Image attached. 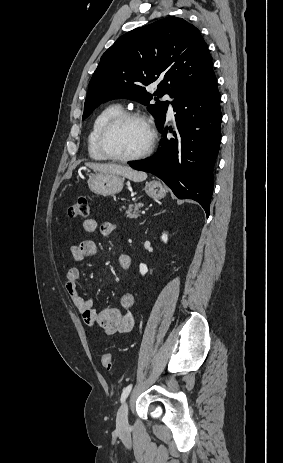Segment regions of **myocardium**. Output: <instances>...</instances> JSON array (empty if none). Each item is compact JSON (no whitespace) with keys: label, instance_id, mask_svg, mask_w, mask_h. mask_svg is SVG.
<instances>
[{"label":"myocardium","instance_id":"f54148a6","mask_svg":"<svg viewBox=\"0 0 283 463\" xmlns=\"http://www.w3.org/2000/svg\"><path fill=\"white\" fill-rule=\"evenodd\" d=\"M135 119L142 122L148 130L149 141L145 149L133 156H120L113 153L108 146V139L112 131L121 123ZM157 141V132L152 121L144 114L137 111H122L109 119L101 128L98 135V146L104 156L112 161L129 163L148 157L154 150Z\"/></svg>","mask_w":283,"mask_h":463}]
</instances>
